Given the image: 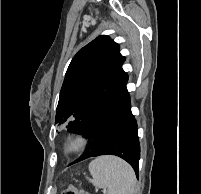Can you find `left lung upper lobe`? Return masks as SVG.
<instances>
[{"label": "left lung upper lobe", "mask_w": 201, "mask_h": 194, "mask_svg": "<svg viewBox=\"0 0 201 194\" xmlns=\"http://www.w3.org/2000/svg\"><path fill=\"white\" fill-rule=\"evenodd\" d=\"M119 45L101 35L80 49L72 59L60 91L55 123L79 133L123 85L128 75Z\"/></svg>", "instance_id": "5c2ea615"}]
</instances>
